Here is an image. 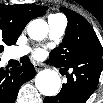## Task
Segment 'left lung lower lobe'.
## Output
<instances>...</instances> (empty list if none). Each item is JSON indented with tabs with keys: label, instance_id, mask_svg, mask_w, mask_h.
Returning a JSON list of instances; mask_svg holds the SVG:
<instances>
[{
	"label": "left lung lower lobe",
	"instance_id": "0a47b994",
	"mask_svg": "<svg viewBox=\"0 0 103 103\" xmlns=\"http://www.w3.org/2000/svg\"><path fill=\"white\" fill-rule=\"evenodd\" d=\"M69 68L73 72L68 74L67 83L63 84L56 96L45 97L44 103H85L98 86L103 68V53L91 52ZM69 68L60 70L68 71Z\"/></svg>",
	"mask_w": 103,
	"mask_h": 103
}]
</instances>
